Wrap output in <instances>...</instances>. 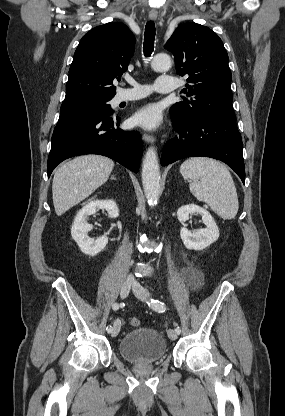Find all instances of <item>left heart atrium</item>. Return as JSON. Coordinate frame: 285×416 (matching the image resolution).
I'll list each match as a JSON object with an SVG mask.
<instances>
[{
    "label": "left heart atrium",
    "mask_w": 285,
    "mask_h": 416,
    "mask_svg": "<svg viewBox=\"0 0 285 416\" xmlns=\"http://www.w3.org/2000/svg\"><path fill=\"white\" fill-rule=\"evenodd\" d=\"M160 114L154 105H147L134 115V122L146 129H155L160 124Z\"/></svg>",
    "instance_id": "left-heart-atrium-1"
}]
</instances>
